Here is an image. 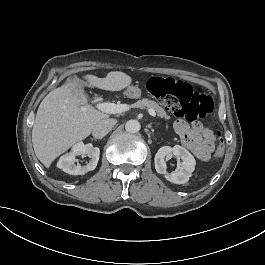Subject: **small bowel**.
<instances>
[{
    "label": "small bowel",
    "instance_id": "1",
    "mask_svg": "<svg viewBox=\"0 0 265 265\" xmlns=\"http://www.w3.org/2000/svg\"><path fill=\"white\" fill-rule=\"evenodd\" d=\"M173 128L180 137L182 144L200 161H208L211 157L214 142V132L199 122L188 124L183 119L174 122Z\"/></svg>",
    "mask_w": 265,
    "mask_h": 265
}]
</instances>
